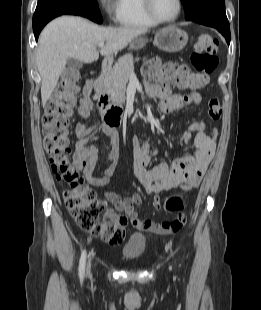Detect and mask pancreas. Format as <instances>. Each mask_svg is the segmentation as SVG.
Masks as SVG:
<instances>
[{"label":"pancreas","mask_w":261,"mask_h":310,"mask_svg":"<svg viewBox=\"0 0 261 310\" xmlns=\"http://www.w3.org/2000/svg\"><path fill=\"white\" fill-rule=\"evenodd\" d=\"M134 69L132 54L121 57L113 69L106 73L104 90L110 95L114 103L122 104L126 99V86L130 73Z\"/></svg>","instance_id":"pancreas-1"}]
</instances>
